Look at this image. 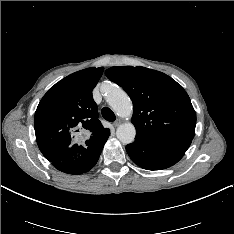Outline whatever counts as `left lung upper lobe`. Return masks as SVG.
I'll use <instances>...</instances> for the list:
<instances>
[{
	"instance_id": "1",
	"label": "left lung upper lobe",
	"mask_w": 234,
	"mask_h": 234,
	"mask_svg": "<svg viewBox=\"0 0 234 234\" xmlns=\"http://www.w3.org/2000/svg\"><path fill=\"white\" fill-rule=\"evenodd\" d=\"M105 74L133 102L135 139H193L195 110L186 91L171 77L140 66H115Z\"/></svg>"
}]
</instances>
